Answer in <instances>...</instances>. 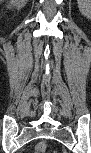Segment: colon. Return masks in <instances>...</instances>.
Segmentation results:
<instances>
[{
	"instance_id": "5ec220e1",
	"label": "colon",
	"mask_w": 91,
	"mask_h": 153,
	"mask_svg": "<svg viewBox=\"0 0 91 153\" xmlns=\"http://www.w3.org/2000/svg\"><path fill=\"white\" fill-rule=\"evenodd\" d=\"M47 151V143L44 141L39 142L34 147V153H45Z\"/></svg>"
}]
</instances>
